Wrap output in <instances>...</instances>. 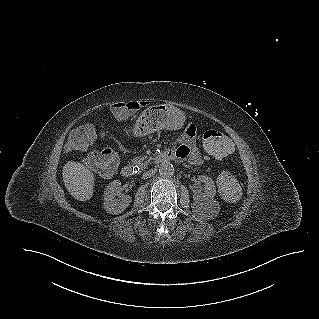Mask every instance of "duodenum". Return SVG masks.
Listing matches in <instances>:
<instances>
[{
	"instance_id": "duodenum-1",
	"label": "duodenum",
	"mask_w": 319,
	"mask_h": 319,
	"mask_svg": "<svg viewBox=\"0 0 319 319\" xmlns=\"http://www.w3.org/2000/svg\"><path fill=\"white\" fill-rule=\"evenodd\" d=\"M175 155L172 151H165L153 156L151 160L152 165H159L161 163L173 160ZM136 172V168L131 164H126L122 167L121 173L124 177H132Z\"/></svg>"
}]
</instances>
